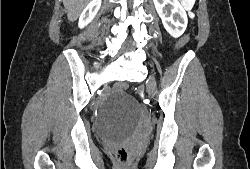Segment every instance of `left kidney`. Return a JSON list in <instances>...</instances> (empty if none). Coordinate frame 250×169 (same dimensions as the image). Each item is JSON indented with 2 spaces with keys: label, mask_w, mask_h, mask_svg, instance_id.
Wrapping results in <instances>:
<instances>
[{
  "label": "left kidney",
  "mask_w": 250,
  "mask_h": 169,
  "mask_svg": "<svg viewBox=\"0 0 250 169\" xmlns=\"http://www.w3.org/2000/svg\"><path fill=\"white\" fill-rule=\"evenodd\" d=\"M153 2L167 32L175 38L183 34L188 18L179 0H153Z\"/></svg>",
  "instance_id": "left-kidney-1"
}]
</instances>
